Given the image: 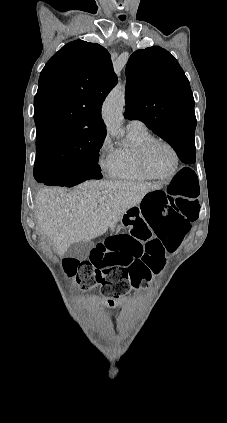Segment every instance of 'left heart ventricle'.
I'll list each match as a JSON object with an SVG mask.
<instances>
[{
	"instance_id": "obj_1",
	"label": "left heart ventricle",
	"mask_w": 227,
	"mask_h": 423,
	"mask_svg": "<svg viewBox=\"0 0 227 423\" xmlns=\"http://www.w3.org/2000/svg\"><path fill=\"white\" fill-rule=\"evenodd\" d=\"M147 162L154 173L165 175L173 166V156L164 145L155 144L148 152Z\"/></svg>"
}]
</instances>
